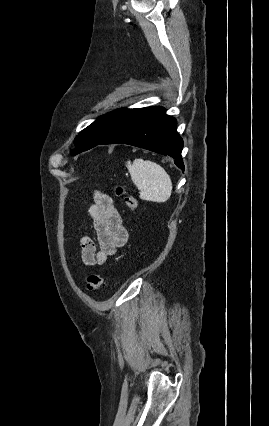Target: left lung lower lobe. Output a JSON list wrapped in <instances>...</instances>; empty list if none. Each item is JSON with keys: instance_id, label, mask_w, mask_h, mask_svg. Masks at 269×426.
<instances>
[{"instance_id": "0a47b994", "label": "left lung lower lobe", "mask_w": 269, "mask_h": 426, "mask_svg": "<svg viewBox=\"0 0 269 426\" xmlns=\"http://www.w3.org/2000/svg\"><path fill=\"white\" fill-rule=\"evenodd\" d=\"M129 144L174 158L184 170L183 140L176 132V119L162 107L123 109L107 136L99 143Z\"/></svg>"}]
</instances>
